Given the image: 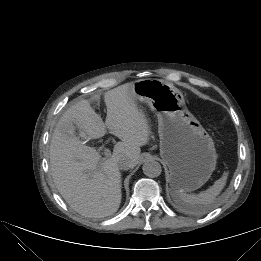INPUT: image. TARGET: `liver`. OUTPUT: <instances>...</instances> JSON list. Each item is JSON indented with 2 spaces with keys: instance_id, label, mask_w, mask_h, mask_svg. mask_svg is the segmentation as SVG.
<instances>
[{
  "instance_id": "6515ba94",
  "label": "liver",
  "mask_w": 261,
  "mask_h": 261,
  "mask_svg": "<svg viewBox=\"0 0 261 261\" xmlns=\"http://www.w3.org/2000/svg\"><path fill=\"white\" fill-rule=\"evenodd\" d=\"M133 83L123 84L104 94L105 123L91 103L99 97L84 99L71 106L60 118L50 144V170L54 184L77 213L101 218L114 214L121 203V173L118 162L128 159L132 167L139 162L141 146L148 143L149 121L132 94ZM97 139L106 128L121 142L110 158L102 159L94 147L85 145L74 134Z\"/></svg>"
}]
</instances>
